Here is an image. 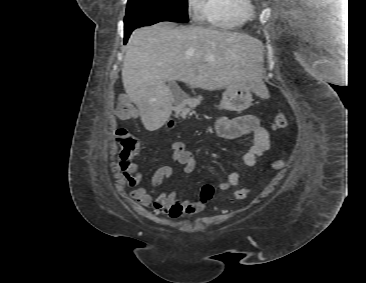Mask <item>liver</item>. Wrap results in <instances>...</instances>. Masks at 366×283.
Here are the masks:
<instances>
[{"label":"liver","mask_w":366,"mask_h":283,"mask_svg":"<svg viewBox=\"0 0 366 283\" xmlns=\"http://www.w3.org/2000/svg\"><path fill=\"white\" fill-rule=\"evenodd\" d=\"M262 69L263 46L249 35L161 22L131 34L122 81L145 129L155 131L173 110L167 81L207 90L247 85L259 94Z\"/></svg>","instance_id":"6515ba94"}]
</instances>
